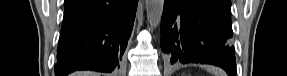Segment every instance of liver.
Returning a JSON list of instances; mask_svg holds the SVG:
<instances>
[{"mask_svg":"<svg viewBox=\"0 0 287 76\" xmlns=\"http://www.w3.org/2000/svg\"><path fill=\"white\" fill-rule=\"evenodd\" d=\"M74 76H99V74L95 72L84 71V72H77L75 73Z\"/></svg>","mask_w":287,"mask_h":76,"instance_id":"6515ba94","label":"liver"}]
</instances>
